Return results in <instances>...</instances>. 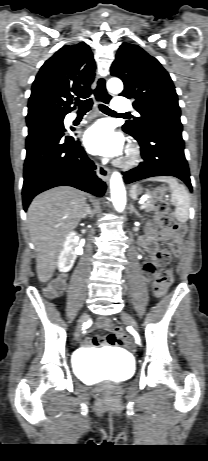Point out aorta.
<instances>
[{
	"instance_id": "obj_1",
	"label": "aorta",
	"mask_w": 208,
	"mask_h": 461,
	"mask_svg": "<svg viewBox=\"0 0 208 461\" xmlns=\"http://www.w3.org/2000/svg\"><path fill=\"white\" fill-rule=\"evenodd\" d=\"M107 89L112 94H119L123 90V83L118 78H111L107 82ZM111 200L118 212H123L126 206V191L122 176L119 172L112 173L110 178Z\"/></svg>"
}]
</instances>
